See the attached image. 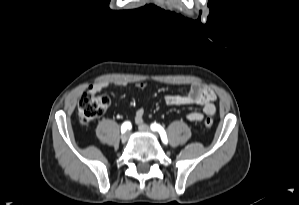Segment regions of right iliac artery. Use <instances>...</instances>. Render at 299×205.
Segmentation results:
<instances>
[{
  "label": "right iliac artery",
  "mask_w": 299,
  "mask_h": 205,
  "mask_svg": "<svg viewBox=\"0 0 299 205\" xmlns=\"http://www.w3.org/2000/svg\"><path fill=\"white\" fill-rule=\"evenodd\" d=\"M131 128V123L129 121H126L122 124L121 126V133H125L127 131V129Z\"/></svg>",
  "instance_id": "right-iliac-artery-1"
}]
</instances>
